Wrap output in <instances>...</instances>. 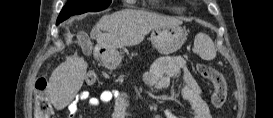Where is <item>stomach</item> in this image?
<instances>
[{"label": "stomach", "mask_w": 273, "mask_h": 118, "mask_svg": "<svg viewBox=\"0 0 273 118\" xmlns=\"http://www.w3.org/2000/svg\"><path fill=\"white\" fill-rule=\"evenodd\" d=\"M152 45L162 54H171L181 48L186 40V33L179 25H164L151 32ZM121 56L110 52L103 56V64L108 69H115L121 62Z\"/></svg>", "instance_id": "0dacf381"}]
</instances>
